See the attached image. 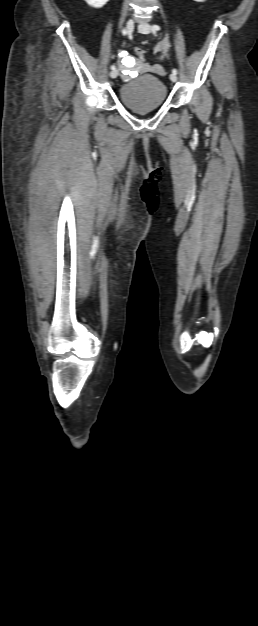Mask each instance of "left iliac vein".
Segmentation results:
<instances>
[{"label": "left iliac vein", "mask_w": 258, "mask_h": 626, "mask_svg": "<svg viewBox=\"0 0 258 626\" xmlns=\"http://www.w3.org/2000/svg\"><path fill=\"white\" fill-rule=\"evenodd\" d=\"M138 30H139L141 33H143V34H148V33H150V32H151V27H150V25H149L148 23H146V22H141V23L138 25ZM169 78H170V80H171L172 82H176V81H177V76H176V74L171 73V74H170V76H169Z\"/></svg>", "instance_id": "4c4485c4"}]
</instances>
